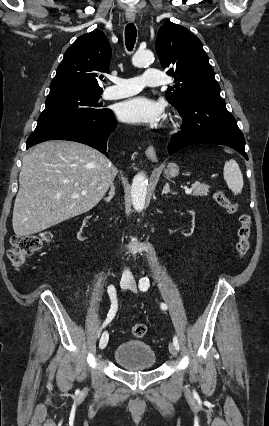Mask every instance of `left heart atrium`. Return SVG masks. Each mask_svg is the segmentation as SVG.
<instances>
[{"mask_svg": "<svg viewBox=\"0 0 269 426\" xmlns=\"http://www.w3.org/2000/svg\"><path fill=\"white\" fill-rule=\"evenodd\" d=\"M162 114V104L144 96L123 101L117 108V115L122 121L138 125L155 124Z\"/></svg>", "mask_w": 269, "mask_h": 426, "instance_id": "1", "label": "left heart atrium"}]
</instances>
